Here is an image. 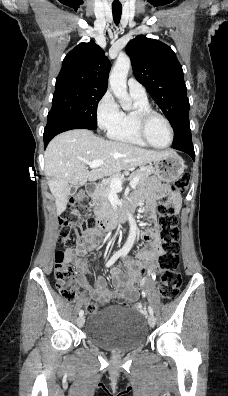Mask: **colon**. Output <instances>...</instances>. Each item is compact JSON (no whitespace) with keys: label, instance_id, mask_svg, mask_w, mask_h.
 Segmentation results:
<instances>
[{"label":"colon","instance_id":"5ec220e1","mask_svg":"<svg viewBox=\"0 0 228 396\" xmlns=\"http://www.w3.org/2000/svg\"><path fill=\"white\" fill-rule=\"evenodd\" d=\"M190 174L185 172L172 184V191L179 194L188 192L190 185ZM88 196L84 193L76 194L69 203V208L60 223V234L64 244L68 247L77 245L83 237V232L92 228L93 219L80 218L78 207L84 208L88 205ZM159 237L161 241V254L158 260V269L162 272L159 294L164 300L174 299L181 286V276L177 272L178 260V238L179 231L176 226L174 214V203L162 200L158 206ZM56 286L68 301H73L78 293V281L74 267L66 260L65 253L58 248L55 253L54 268ZM99 310L97 302L86 305V313L92 315Z\"/></svg>","mask_w":228,"mask_h":396}]
</instances>
